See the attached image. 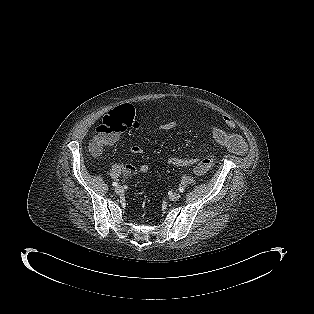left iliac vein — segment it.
<instances>
[{"mask_svg": "<svg viewBox=\"0 0 314 314\" xmlns=\"http://www.w3.org/2000/svg\"><path fill=\"white\" fill-rule=\"evenodd\" d=\"M181 197V194L178 192H174L172 194H170L169 199L172 201H176Z\"/></svg>", "mask_w": 314, "mask_h": 314, "instance_id": "4c4485c4", "label": "left iliac vein"}]
</instances>
